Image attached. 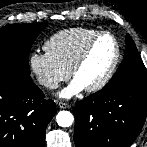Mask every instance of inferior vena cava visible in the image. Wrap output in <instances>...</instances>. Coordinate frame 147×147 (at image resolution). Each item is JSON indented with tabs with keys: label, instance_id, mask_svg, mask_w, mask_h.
<instances>
[{
	"label": "inferior vena cava",
	"instance_id": "1",
	"mask_svg": "<svg viewBox=\"0 0 147 147\" xmlns=\"http://www.w3.org/2000/svg\"><path fill=\"white\" fill-rule=\"evenodd\" d=\"M40 83L50 89H56L57 88V83L47 80V79H40Z\"/></svg>",
	"mask_w": 147,
	"mask_h": 147
}]
</instances>
